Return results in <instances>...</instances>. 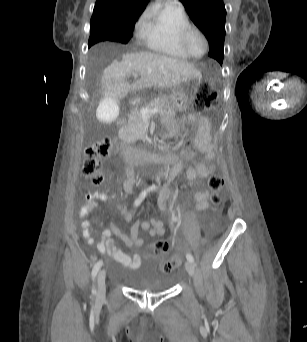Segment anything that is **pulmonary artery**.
<instances>
[{"instance_id": "e3ab8cb5", "label": "pulmonary artery", "mask_w": 307, "mask_h": 342, "mask_svg": "<svg viewBox=\"0 0 307 342\" xmlns=\"http://www.w3.org/2000/svg\"><path fill=\"white\" fill-rule=\"evenodd\" d=\"M166 5L168 8H173V7H181L182 6V1H165ZM163 10H160L158 8L153 9L152 13L157 16L158 18H160L163 14Z\"/></svg>"}]
</instances>
